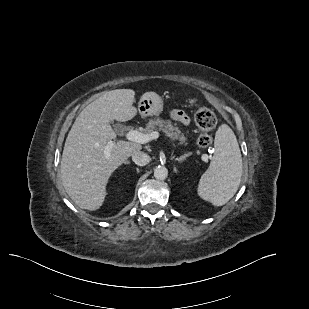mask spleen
Masks as SVG:
<instances>
[{
  "label": "spleen",
  "instance_id": "spleen-1",
  "mask_svg": "<svg viewBox=\"0 0 309 309\" xmlns=\"http://www.w3.org/2000/svg\"><path fill=\"white\" fill-rule=\"evenodd\" d=\"M215 153L201 176L198 195L214 206L225 205L237 192L242 177V157L232 129L222 124L216 131Z\"/></svg>",
  "mask_w": 309,
  "mask_h": 309
}]
</instances>
